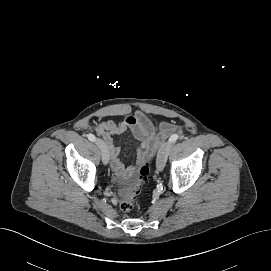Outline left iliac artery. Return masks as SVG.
Returning <instances> with one entry per match:
<instances>
[{
    "label": "left iliac artery",
    "instance_id": "44dca946",
    "mask_svg": "<svg viewBox=\"0 0 271 271\" xmlns=\"http://www.w3.org/2000/svg\"><path fill=\"white\" fill-rule=\"evenodd\" d=\"M179 139V136L177 134H173L170 138H169V142L170 143H174Z\"/></svg>",
    "mask_w": 271,
    "mask_h": 271
}]
</instances>
